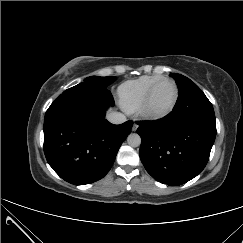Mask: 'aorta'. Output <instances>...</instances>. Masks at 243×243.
I'll list each match as a JSON object with an SVG mask.
<instances>
[{
    "mask_svg": "<svg viewBox=\"0 0 243 243\" xmlns=\"http://www.w3.org/2000/svg\"><path fill=\"white\" fill-rule=\"evenodd\" d=\"M127 143L131 147H138L141 144V137L138 134H136V133H131L127 137Z\"/></svg>",
    "mask_w": 243,
    "mask_h": 243,
    "instance_id": "762f6f07",
    "label": "aorta"
}]
</instances>
